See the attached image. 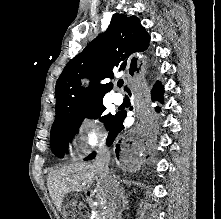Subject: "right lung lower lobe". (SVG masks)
<instances>
[{"mask_svg": "<svg viewBox=\"0 0 221 219\" xmlns=\"http://www.w3.org/2000/svg\"><path fill=\"white\" fill-rule=\"evenodd\" d=\"M164 91V87L160 82H156V84L153 86L151 90V97L152 101H160L162 102V94ZM130 94V93H129ZM131 95V94H130ZM156 111H158V108H156ZM126 117L125 111H120L116 113L114 121L109 129V134L107 138V145L111 146L113 144V147H115V153L117 158H120L122 160L128 158L130 154H134V146L132 145V142H123L122 139L118 137V133L122 131L124 128L123 121ZM142 139L141 137H138L136 141H139ZM96 156V153L93 152L90 155H88L84 160H92Z\"/></svg>", "mask_w": 221, "mask_h": 219, "instance_id": "98d812e1", "label": "right lung lower lobe"}]
</instances>
